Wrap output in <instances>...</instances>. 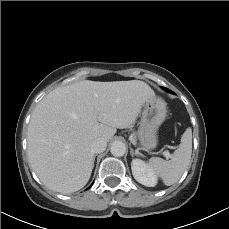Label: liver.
Here are the masks:
<instances>
[{
    "label": "liver",
    "mask_w": 229,
    "mask_h": 229,
    "mask_svg": "<svg viewBox=\"0 0 229 229\" xmlns=\"http://www.w3.org/2000/svg\"><path fill=\"white\" fill-rule=\"evenodd\" d=\"M154 96L140 80H84L54 89L38 103L28 126L31 168L51 190H80L94 166L92 141H109L117 128L130 127Z\"/></svg>",
    "instance_id": "liver-1"
}]
</instances>
